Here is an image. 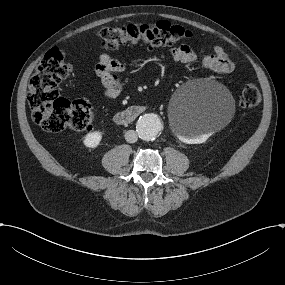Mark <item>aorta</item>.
<instances>
[{"mask_svg": "<svg viewBox=\"0 0 285 285\" xmlns=\"http://www.w3.org/2000/svg\"><path fill=\"white\" fill-rule=\"evenodd\" d=\"M162 125L155 114H145L139 118L136 130L139 137L144 141L154 140L161 131Z\"/></svg>", "mask_w": 285, "mask_h": 285, "instance_id": "1", "label": "aorta"}]
</instances>
